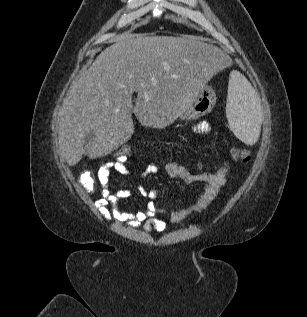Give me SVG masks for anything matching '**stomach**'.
<instances>
[{
	"label": "stomach",
	"instance_id": "1",
	"mask_svg": "<svg viewBox=\"0 0 307 317\" xmlns=\"http://www.w3.org/2000/svg\"><path fill=\"white\" fill-rule=\"evenodd\" d=\"M215 103V93L211 88L204 87L196 90L190 99L184 113L183 119H190L209 113Z\"/></svg>",
	"mask_w": 307,
	"mask_h": 317
}]
</instances>
